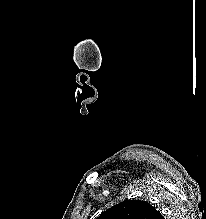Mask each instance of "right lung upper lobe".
Here are the masks:
<instances>
[{
    "instance_id": "right-lung-upper-lobe-1",
    "label": "right lung upper lobe",
    "mask_w": 206,
    "mask_h": 219,
    "mask_svg": "<svg viewBox=\"0 0 206 219\" xmlns=\"http://www.w3.org/2000/svg\"><path fill=\"white\" fill-rule=\"evenodd\" d=\"M96 219H164V217L146 201L125 200L107 209Z\"/></svg>"
}]
</instances>
